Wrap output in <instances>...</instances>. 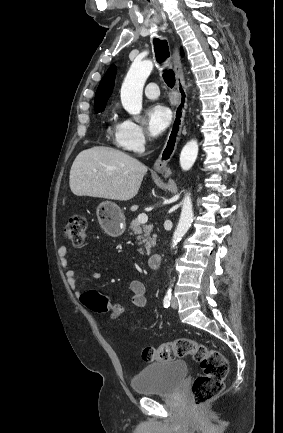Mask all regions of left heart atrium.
I'll use <instances>...</instances> for the list:
<instances>
[{"label":"left heart atrium","instance_id":"1","mask_svg":"<svg viewBox=\"0 0 283 433\" xmlns=\"http://www.w3.org/2000/svg\"><path fill=\"white\" fill-rule=\"evenodd\" d=\"M171 120L169 109L163 105H153L148 111V129L153 136H160Z\"/></svg>","mask_w":283,"mask_h":433}]
</instances>
